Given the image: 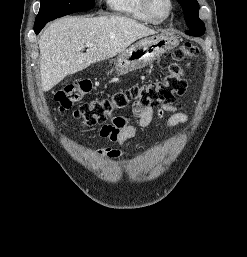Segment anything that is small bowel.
I'll list each match as a JSON object with an SVG mask.
<instances>
[{
  "label": "small bowel",
  "mask_w": 247,
  "mask_h": 257,
  "mask_svg": "<svg viewBox=\"0 0 247 257\" xmlns=\"http://www.w3.org/2000/svg\"><path fill=\"white\" fill-rule=\"evenodd\" d=\"M169 112L170 116L167 118V126L173 127L186 121V115L177 110L176 107L163 104L158 109V116L162 118L165 113ZM133 113L137 117L136 125H129L126 119L119 117L113 119L110 124L101 127L99 135L103 138L109 139L112 143L119 145H127L129 140L133 138L139 129L145 128L153 120V109L150 107H143L138 103L133 104ZM98 156L107 159H115L121 156V151L113 148L100 149L97 152Z\"/></svg>",
  "instance_id": "c3829d8e"
}]
</instances>
